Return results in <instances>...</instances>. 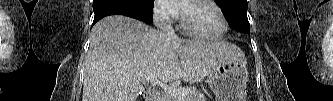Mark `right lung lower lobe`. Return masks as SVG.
<instances>
[{"label":"right lung lower lobe","instance_id":"right-lung-lower-lobe-1","mask_svg":"<svg viewBox=\"0 0 333 101\" xmlns=\"http://www.w3.org/2000/svg\"><path fill=\"white\" fill-rule=\"evenodd\" d=\"M93 10L95 16L92 26L103 17L115 14L152 23L136 0H94Z\"/></svg>","mask_w":333,"mask_h":101}]
</instances>
